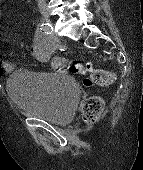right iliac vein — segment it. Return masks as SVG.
I'll return each mask as SVG.
<instances>
[{
    "label": "right iliac vein",
    "mask_w": 143,
    "mask_h": 170,
    "mask_svg": "<svg viewBox=\"0 0 143 170\" xmlns=\"http://www.w3.org/2000/svg\"><path fill=\"white\" fill-rule=\"evenodd\" d=\"M43 18H44L45 21L50 22V16L47 12L43 13Z\"/></svg>",
    "instance_id": "obj_1"
}]
</instances>
